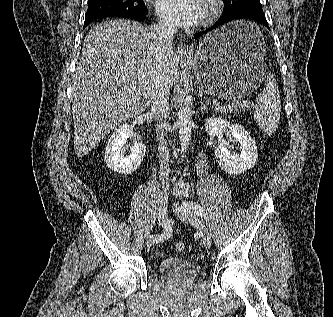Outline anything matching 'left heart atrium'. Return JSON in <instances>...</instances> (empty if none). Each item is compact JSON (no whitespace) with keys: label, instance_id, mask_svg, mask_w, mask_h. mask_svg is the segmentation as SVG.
I'll return each mask as SVG.
<instances>
[{"label":"left heart atrium","instance_id":"39dd6f15","mask_svg":"<svg viewBox=\"0 0 333 317\" xmlns=\"http://www.w3.org/2000/svg\"><path fill=\"white\" fill-rule=\"evenodd\" d=\"M156 7L167 23L177 27L197 23L204 11L203 0H157Z\"/></svg>","mask_w":333,"mask_h":317}]
</instances>
